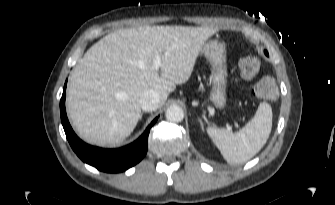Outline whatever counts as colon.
<instances>
[{
	"instance_id": "colon-1",
	"label": "colon",
	"mask_w": 335,
	"mask_h": 205,
	"mask_svg": "<svg viewBox=\"0 0 335 205\" xmlns=\"http://www.w3.org/2000/svg\"><path fill=\"white\" fill-rule=\"evenodd\" d=\"M260 62L255 56H247L240 60V75L245 80L253 79L259 72ZM253 93L258 98L274 99L278 95V88L272 77L266 76L261 78L253 86Z\"/></svg>"
}]
</instances>
